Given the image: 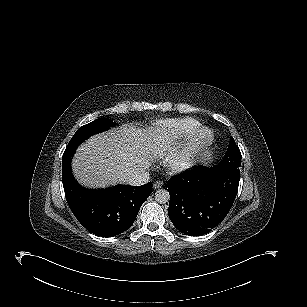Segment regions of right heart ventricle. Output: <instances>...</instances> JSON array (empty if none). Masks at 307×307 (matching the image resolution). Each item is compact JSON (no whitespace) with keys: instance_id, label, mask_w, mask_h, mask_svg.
<instances>
[{"instance_id":"e07e8e85","label":"right heart ventricle","mask_w":307,"mask_h":307,"mask_svg":"<svg viewBox=\"0 0 307 307\" xmlns=\"http://www.w3.org/2000/svg\"><path fill=\"white\" fill-rule=\"evenodd\" d=\"M196 128L197 122L191 118L160 121L154 130V140L161 150L170 151L184 140L188 142L192 139L197 132Z\"/></svg>"}]
</instances>
